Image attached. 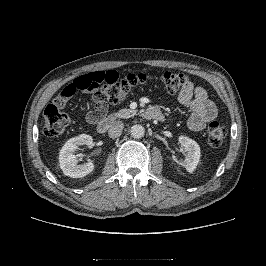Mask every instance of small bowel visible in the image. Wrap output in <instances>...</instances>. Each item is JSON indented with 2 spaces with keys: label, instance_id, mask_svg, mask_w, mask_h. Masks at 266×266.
<instances>
[{
  "label": "small bowel",
  "instance_id": "obj_1",
  "mask_svg": "<svg viewBox=\"0 0 266 266\" xmlns=\"http://www.w3.org/2000/svg\"><path fill=\"white\" fill-rule=\"evenodd\" d=\"M178 100L192 112L188 119V126L191 130L204 129L206 124L217 116L216 106L208 99L207 91L189 81L180 90ZM94 103L93 110H98L103 114L106 106L99 95H94ZM89 122L91 123L90 120Z\"/></svg>",
  "mask_w": 266,
  "mask_h": 266
}]
</instances>
